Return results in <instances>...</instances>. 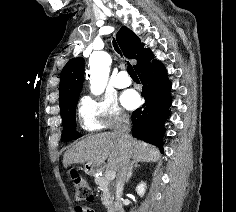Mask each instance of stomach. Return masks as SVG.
<instances>
[{"mask_svg": "<svg viewBox=\"0 0 236 212\" xmlns=\"http://www.w3.org/2000/svg\"><path fill=\"white\" fill-rule=\"evenodd\" d=\"M84 171L88 175H94L96 173L97 169L94 165H90V164L86 163L84 165Z\"/></svg>", "mask_w": 236, "mask_h": 212, "instance_id": "0dacf381", "label": "stomach"}]
</instances>
